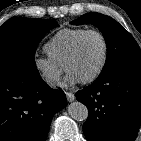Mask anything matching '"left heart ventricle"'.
Instances as JSON below:
<instances>
[{
  "instance_id": "1",
  "label": "left heart ventricle",
  "mask_w": 141,
  "mask_h": 141,
  "mask_svg": "<svg viewBox=\"0 0 141 141\" xmlns=\"http://www.w3.org/2000/svg\"><path fill=\"white\" fill-rule=\"evenodd\" d=\"M103 58V43L99 36L88 35L82 43L80 51L67 67V71L74 72L81 80L93 75L99 68Z\"/></svg>"
}]
</instances>
